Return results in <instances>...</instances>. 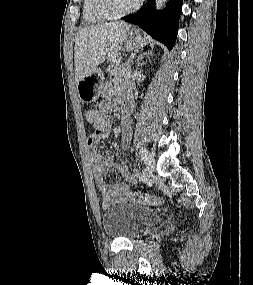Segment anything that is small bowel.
Instances as JSON below:
<instances>
[{"instance_id": "c3829d8e", "label": "small bowel", "mask_w": 253, "mask_h": 285, "mask_svg": "<svg viewBox=\"0 0 253 285\" xmlns=\"http://www.w3.org/2000/svg\"><path fill=\"white\" fill-rule=\"evenodd\" d=\"M129 88L117 79L108 80L102 89L103 100L96 111V119L93 123L94 133L87 140L90 149L94 180L100 192L102 206L108 209L116 204L127 202L129 188L127 183H134L137 180V173L130 172L125 165H119L116 169L122 175L125 183H108L103 174L109 170L112 163L110 152L100 153L97 150L101 140L106 139L110 134L109 115L113 110L111 99L117 97L118 101L124 106L125 114L122 118V141L121 149L127 151L131 139V121L129 117L130 104L127 98Z\"/></svg>"}]
</instances>
